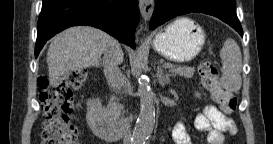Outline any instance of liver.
Wrapping results in <instances>:
<instances>
[{
  "label": "liver",
  "mask_w": 273,
  "mask_h": 144,
  "mask_svg": "<svg viewBox=\"0 0 273 144\" xmlns=\"http://www.w3.org/2000/svg\"><path fill=\"white\" fill-rule=\"evenodd\" d=\"M113 40L107 33L89 26L71 27L56 35L47 53L50 84L56 86L72 71L99 66Z\"/></svg>",
  "instance_id": "6515ba94"
}]
</instances>
